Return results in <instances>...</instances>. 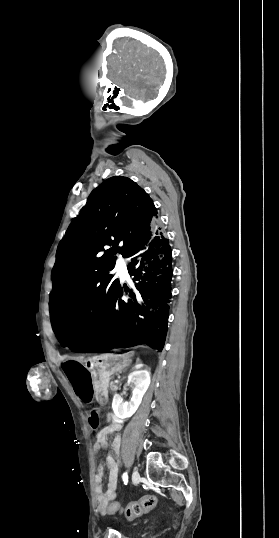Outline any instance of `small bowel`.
Segmentation results:
<instances>
[{"label":"small bowel","instance_id":"1","mask_svg":"<svg viewBox=\"0 0 279 538\" xmlns=\"http://www.w3.org/2000/svg\"><path fill=\"white\" fill-rule=\"evenodd\" d=\"M67 380L69 381L74 394L84 404H90L94 399V382L93 376L86 369L69 370L66 372ZM89 425L92 429H97L100 425V415L98 411L93 410L89 415ZM121 429V424L112 420L111 423L101 428L96 436L94 449L96 451L103 450L108 445V437ZM113 454L106 458V466L108 469V484L106 491L103 490L102 481L104 475V467L100 465L95 476L96 501L100 508H105L108 503L116 498L118 486V465L116 458L121 450V437L115 436L112 441Z\"/></svg>","mask_w":279,"mask_h":538}]
</instances>
